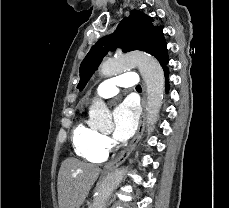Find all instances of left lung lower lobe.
<instances>
[{
    "mask_svg": "<svg viewBox=\"0 0 229 208\" xmlns=\"http://www.w3.org/2000/svg\"><path fill=\"white\" fill-rule=\"evenodd\" d=\"M168 61H169V60H166L165 62H163V63L161 64V66H162V68H163V70H164V72H165L166 81H167V79H168V67H167ZM168 87H169V85H168V83H166V90H167V91H168Z\"/></svg>",
    "mask_w": 229,
    "mask_h": 208,
    "instance_id": "0a47b994",
    "label": "left lung lower lobe"
}]
</instances>
